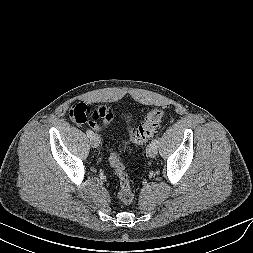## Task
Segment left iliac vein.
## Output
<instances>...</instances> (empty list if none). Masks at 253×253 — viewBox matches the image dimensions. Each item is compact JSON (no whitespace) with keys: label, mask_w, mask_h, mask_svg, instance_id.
Listing matches in <instances>:
<instances>
[{"label":"left iliac vein","mask_w":253,"mask_h":253,"mask_svg":"<svg viewBox=\"0 0 253 253\" xmlns=\"http://www.w3.org/2000/svg\"><path fill=\"white\" fill-rule=\"evenodd\" d=\"M146 153L149 157L152 158L157 155L158 151H157V148L153 144H150L146 149Z\"/></svg>","instance_id":"4c4485c4"}]
</instances>
